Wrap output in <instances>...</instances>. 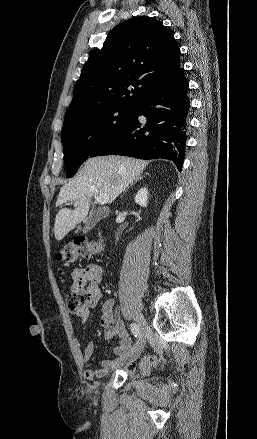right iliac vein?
Wrapping results in <instances>:
<instances>
[{
	"label": "right iliac vein",
	"instance_id": "obj_1",
	"mask_svg": "<svg viewBox=\"0 0 257 439\" xmlns=\"http://www.w3.org/2000/svg\"><path fill=\"white\" fill-rule=\"evenodd\" d=\"M136 321L140 327V335H139L138 340H137L136 345H135V351L129 358L130 361H135L140 356V354L144 348V345H145L146 322H145L143 315L139 314L136 317ZM116 365L119 366V365H123V364L120 361H118V362H116Z\"/></svg>",
	"mask_w": 257,
	"mask_h": 439
}]
</instances>
